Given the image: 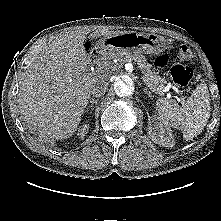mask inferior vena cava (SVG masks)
<instances>
[{"instance_id": "inferior-vena-cava-1", "label": "inferior vena cava", "mask_w": 221, "mask_h": 221, "mask_svg": "<svg viewBox=\"0 0 221 221\" xmlns=\"http://www.w3.org/2000/svg\"><path fill=\"white\" fill-rule=\"evenodd\" d=\"M107 85H108V83L105 81L98 83L97 85H95L93 87V89L91 91L92 95L95 97L102 96L106 92Z\"/></svg>"}]
</instances>
